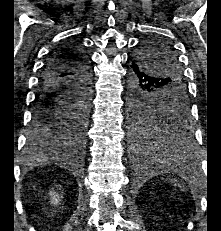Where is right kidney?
Listing matches in <instances>:
<instances>
[{"label": "right kidney", "instance_id": "1", "mask_svg": "<svg viewBox=\"0 0 221 231\" xmlns=\"http://www.w3.org/2000/svg\"><path fill=\"white\" fill-rule=\"evenodd\" d=\"M49 195L51 204L58 205L60 202V195L56 193L54 190L50 191Z\"/></svg>", "mask_w": 221, "mask_h": 231}]
</instances>
